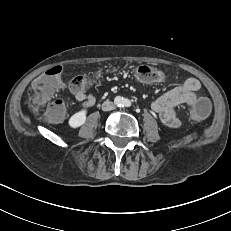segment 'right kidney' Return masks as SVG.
Masks as SVG:
<instances>
[{
  "label": "right kidney",
  "instance_id": "1",
  "mask_svg": "<svg viewBox=\"0 0 231 231\" xmlns=\"http://www.w3.org/2000/svg\"><path fill=\"white\" fill-rule=\"evenodd\" d=\"M87 111L85 109L72 115L68 121V124L71 128H78L82 126L86 121Z\"/></svg>",
  "mask_w": 231,
  "mask_h": 231
}]
</instances>
